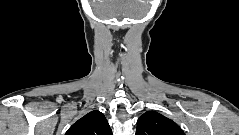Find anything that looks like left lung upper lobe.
<instances>
[{
  "mask_svg": "<svg viewBox=\"0 0 239 135\" xmlns=\"http://www.w3.org/2000/svg\"><path fill=\"white\" fill-rule=\"evenodd\" d=\"M135 135H185L172 120L155 111L145 112L137 121Z\"/></svg>",
  "mask_w": 239,
  "mask_h": 135,
  "instance_id": "left-lung-upper-lobe-1",
  "label": "left lung upper lobe"
}]
</instances>
